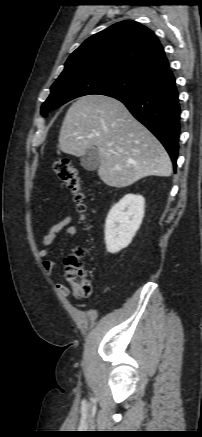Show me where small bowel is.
I'll list each match as a JSON object with an SVG mask.
<instances>
[{
  "label": "small bowel",
  "mask_w": 202,
  "mask_h": 437,
  "mask_svg": "<svg viewBox=\"0 0 202 437\" xmlns=\"http://www.w3.org/2000/svg\"><path fill=\"white\" fill-rule=\"evenodd\" d=\"M72 220L73 218L71 215H65L60 221L52 224L42 238L43 249L39 251V257L42 260L43 269L48 276L52 275L55 268V262L49 258V247L52 245L58 234L61 232H65L71 236L79 234V228L78 226L72 224ZM57 287L63 296H68V290L63 285H58Z\"/></svg>",
  "instance_id": "c3829d8e"
}]
</instances>
